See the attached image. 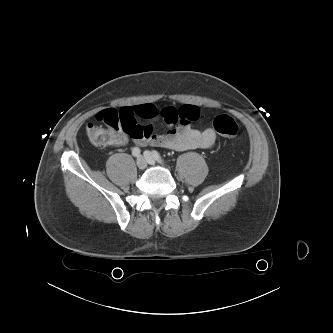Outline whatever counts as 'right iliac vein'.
Here are the masks:
<instances>
[{"label": "right iliac vein", "instance_id": "1", "mask_svg": "<svg viewBox=\"0 0 333 333\" xmlns=\"http://www.w3.org/2000/svg\"><path fill=\"white\" fill-rule=\"evenodd\" d=\"M137 167L141 170H144L147 167V160L143 156H139L136 160Z\"/></svg>", "mask_w": 333, "mask_h": 333}]
</instances>
